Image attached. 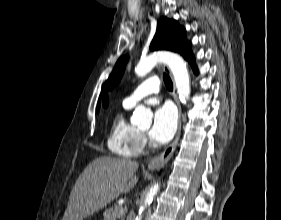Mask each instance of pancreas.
<instances>
[{
	"label": "pancreas",
	"mask_w": 281,
	"mask_h": 220,
	"mask_svg": "<svg viewBox=\"0 0 281 220\" xmlns=\"http://www.w3.org/2000/svg\"><path fill=\"white\" fill-rule=\"evenodd\" d=\"M121 209L122 207L117 205H115L114 208L106 209L104 220H124V213L120 214Z\"/></svg>",
	"instance_id": "cf45deb5"
}]
</instances>
